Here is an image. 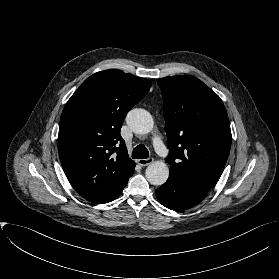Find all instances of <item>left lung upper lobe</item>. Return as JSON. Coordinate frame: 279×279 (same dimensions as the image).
Wrapping results in <instances>:
<instances>
[{
  "label": "left lung upper lobe",
  "instance_id": "5c2ea615",
  "mask_svg": "<svg viewBox=\"0 0 279 279\" xmlns=\"http://www.w3.org/2000/svg\"><path fill=\"white\" fill-rule=\"evenodd\" d=\"M157 83L163 96L169 175L208 192L218 182L231 148L224 104L192 76L164 77Z\"/></svg>",
  "mask_w": 279,
  "mask_h": 279
}]
</instances>
